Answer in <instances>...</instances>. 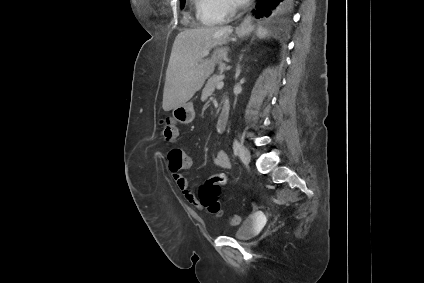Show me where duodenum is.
I'll return each instance as SVG.
<instances>
[{
    "label": "duodenum",
    "instance_id": "duodenum-1",
    "mask_svg": "<svg viewBox=\"0 0 424 283\" xmlns=\"http://www.w3.org/2000/svg\"><path fill=\"white\" fill-rule=\"evenodd\" d=\"M229 119V103L224 101L221 107V111L217 121L218 132H224L226 130Z\"/></svg>",
    "mask_w": 424,
    "mask_h": 283
}]
</instances>
